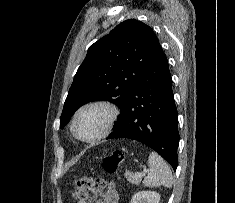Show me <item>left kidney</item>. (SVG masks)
I'll return each mask as SVG.
<instances>
[{"label": "left kidney", "instance_id": "obj_1", "mask_svg": "<svg viewBox=\"0 0 235 203\" xmlns=\"http://www.w3.org/2000/svg\"><path fill=\"white\" fill-rule=\"evenodd\" d=\"M160 195L154 191H140L134 194L130 203H159Z\"/></svg>", "mask_w": 235, "mask_h": 203}]
</instances>
